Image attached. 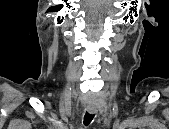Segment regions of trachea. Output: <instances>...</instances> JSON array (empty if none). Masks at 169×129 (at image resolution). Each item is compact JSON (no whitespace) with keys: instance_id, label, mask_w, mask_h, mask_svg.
Returning <instances> with one entry per match:
<instances>
[{"instance_id":"1","label":"trachea","mask_w":169,"mask_h":129,"mask_svg":"<svg viewBox=\"0 0 169 129\" xmlns=\"http://www.w3.org/2000/svg\"><path fill=\"white\" fill-rule=\"evenodd\" d=\"M94 118V114H91L89 112H86L84 115V125L88 126Z\"/></svg>"}]
</instances>
